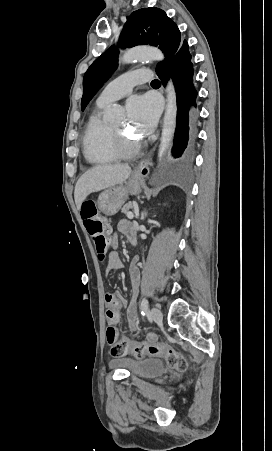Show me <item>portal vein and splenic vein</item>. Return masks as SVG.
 Instances as JSON below:
<instances>
[{"instance_id": "obj_1", "label": "portal vein and splenic vein", "mask_w": 272, "mask_h": 451, "mask_svg": "<svg viewBox=\"0 0 272 451\" xmlns=\"http://www.w3.org/2000/svg\"><path fill=\"white\" fill-rule=\"evenodd\" d=\"M127 218H129V220H133L134 214H132V212H128Z\"/></svg>"}]
</instances>
